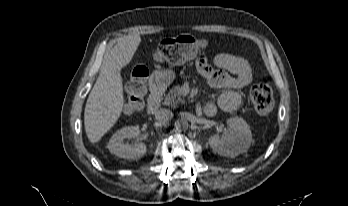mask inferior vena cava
Instances as JSON below:
<instances>
[{
  "label": "inferior vena cava",
  "instance_id": "inferior-vena-cava-1",
  "mask_svg": "<svg viewBox=\"0 0 348 206\" xmlns=\"http://www.w3.org/2000/svg\"><path fill=\"white\" fill-rule=\"evenodd\" d=\"M172 117H173V113L169 109H164L163 108V109L158 110L155 113L156 120L161 122V123L169 122Z\"/></svg>",
  "mask_w": 348,
  "mask_h": 206
}]
</instances>
